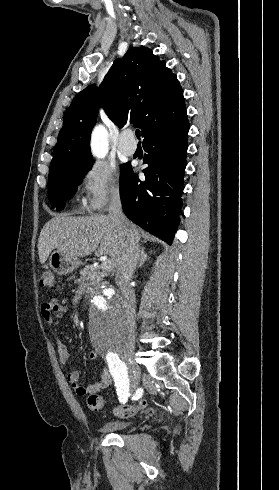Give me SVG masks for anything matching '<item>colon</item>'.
I'll return each instance as SVG.
<instances>
[{"mask_svg":"<svg viewBox=\"0 0 279 490\" xmlns=\"http://www.w3.org/2000/svg\"><path fill=\"white\" fill-rule=\"evenodd\" d=\"M40 285L43 288L53 289L56 286V274L51 270L43 272L40 278ZM105 403L104 398L98 394H91L87 400L88 410L91 412H100ZM145 407V403L138 404H122L113 408V414L117 418H127L134 416Z\"/></svg>","mask_w":279,"mask_h":490,"instance_id":"1","label":"colon"}]
</instances>
